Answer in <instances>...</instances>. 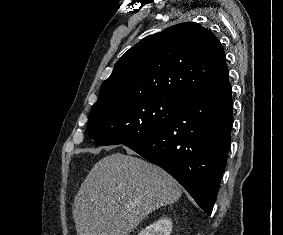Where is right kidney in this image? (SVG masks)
<instances>
[{"label":"right kidney","mask_w":283,"mask_h":235,"mask_svg":"<svg viewBox=\"0 0 283 235\" xmlns=\"http://www.w3.org/2000/svg\"><path fill=\"white\" fill-rule=\"evenodd\" d=\"M172 231V221L168 218H161L146 227L138 235H170Z\"/></svg>","instance_id":"obj_1"}]
</instances>
